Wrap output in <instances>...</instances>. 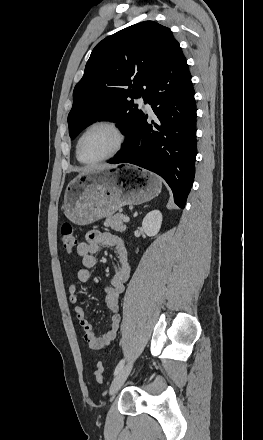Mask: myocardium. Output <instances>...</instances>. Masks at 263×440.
<instances>
[{"label": "myocardium", "instance_id": "f54148a6", "mask_svg": "<svg viewBox=\"0 0 263 440\" xmlns=\"http://www.w3.org/2000/svg\"><path fill=\"white\" fill-rule=\"evenodd\" d=\"M97 126H108L110 127L117 135V144L115 146V148L113 149V151L111 153H109L108 155L97 159V160H93V161H86L83 160L81 158L80 155V146H81V142L84 138V136L94 127ZM127 137H126V133L123 129V127L115 120L113 119H109V118H102V119H98L93 121L92 123H90L84 130L83 132L80 134L77 143H76V156L77 159L86 165H95V164H99L105 161L110 160L111 158L115 157L117 154H119L121 152V150L123 149V147L125 146Z\"/></svg>", "mask_w": 263, "mask_h": 440}]
</instances>
